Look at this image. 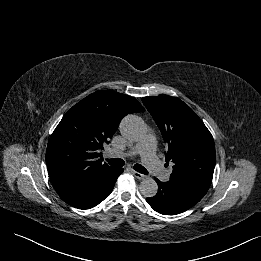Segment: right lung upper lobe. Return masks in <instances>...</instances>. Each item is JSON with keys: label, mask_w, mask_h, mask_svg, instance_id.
I'll return each mask as SVG.
<instances>
[{"label": "right lung upper lobe", "mask_w": 261, "mask_h": 261, "mask_svg": "<svg viewBox=\"0 0 261 261\" xmlns=\"http://www.w3.org/2000/svg\"><path fill=\"white\" fill-rule=\"evenodd\" d=\"M144 111L135 98L104 90L74 105L54 130L46 150L47 169L56 192L71 191L113 169L102 163L100 150L125 115Z\"/></svg>", "instance_id": "1"}]
</instances>
